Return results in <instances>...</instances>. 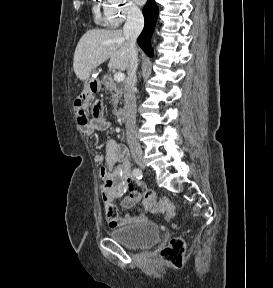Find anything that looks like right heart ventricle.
Returning a JSON list of instances; mask_svg holds the SVG:
<instances>
[{
  "label": "right heart ventricle",
  "mask_w": 273,
  "mask_h": 288,
  "mask_svg": "<svg viewBox=\"0 0 273 288\" xmlns=\"http://www.w3.org/2000/svg\"><path fill=\"white\" fill-rule=\"evenodd\" d=\"M94 14L97 22L104 23L107 20L106 17H103L101 15L100 10L97 6L94 7Z\"/></svg>",
  "instance_id": "1"
}]
</instances>
